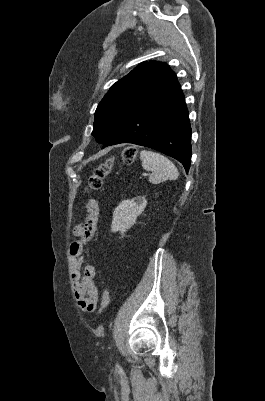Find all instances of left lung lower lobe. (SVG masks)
Masks as SVG:
<instances>
[{
	"label": "left lung lower lobe",
	"instance_id": "0a47b994",
	"mask_svg": "<svg viewBox=\"0 0 265 401\" xmlns=\"http://www.w3.org/2000/svg\"><path fill=\"white\" fill-rule=\"evenodd\" d=\"M191 127L181 87L176 81L141 108L103 148L120 143L146 146L180 161L186 172L191 162Z\"/></svg>",
	"mask_w": 265,
	"mask_h": 401
}]
</instances>
